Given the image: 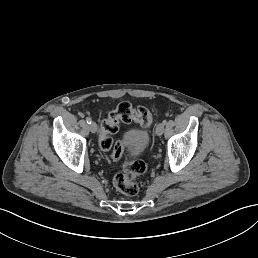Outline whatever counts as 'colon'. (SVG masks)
I'll return each instance as SVG.
<instances>
[{"label":"colon","mask_w":258,"mask_h":258,"mask_svg":"<svg viewBox=\"0 0 258 258\" xmlns=\"http://www.w3.org/2000/svg\"><path fill=\"white\" fill-rule=\"evenodd\" d=\"M154 116L144 106L133 107L129 102H121L109 113L101 123L100 147L109 153L112 159L118 160L122 154V145L113 136L118 132L119 124L137 123L147 128L153 122ZM146 164L142 160H134L124 164L114 177L116 189L126 196H135L139 192L137 177L145 173Z\"/></svg>","instance_id":"obj_1"}]
</instances>
